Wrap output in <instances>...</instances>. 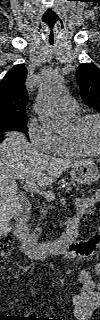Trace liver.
<instances>
[{
	"instance_id": "6515ba94",
	"label": "liver",
	"mask_w": 100,
	"mask_h": 320,
	"mask_svg": "<svg viewBox=\"0 0 100 320\" xmlns=\"http://www.w3.org/2000/svg\"><path fill=\"white\" fill-rule=\"evenodd\" d=\"M82 160L60 159L37 151L20 132H9L0 144V223L6 229L9 221L22 213L16 180L34 179L47 186Z\"/></svg>"
}]
</instances>
